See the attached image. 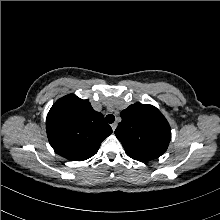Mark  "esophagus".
<instances>
[{"label":"esophagus","instance_id":"obj_1","mask_svg":"<svg viewBox=\"0 0 220 220\" xmlns=\"http://www.w3.org/2000/svg\"><path fill=\"white\" fill-rule=\"evenodd\" d=\"M111 128L113 131H115V129L117 128V123L115 122V123L111 124Z\"/></svg>","mask_w":220,"mask_h":220}]
</instances>
